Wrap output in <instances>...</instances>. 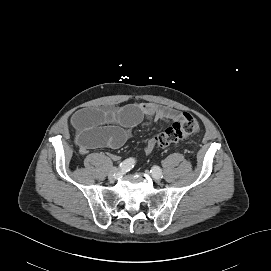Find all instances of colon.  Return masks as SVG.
Masks as SVG:
<instances>
[{
	"instance_id": "obj_1",
	"label": "colon",
	"mask_w": 271,
	"mask_h": 271,
	"mask_svg": "<svg viewBox=\"0 0 271 271\" xmlns=\"http://www.w3.org/2000/svg\"><path fill=\"white\" fill-rule=\"evenodd\" d=\"M198 129L199 123L196 118L189 113H183L180 120L174 122L155 137L154 144L158 147H167L196 133Z\"/></svg>"
}]
</instances>
